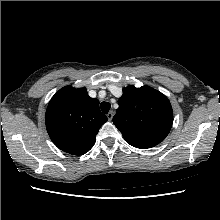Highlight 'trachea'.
I'll list each match as a JSON object with an SVG mask.
<instances>
[{
    "mask_svg": "<svg viewBox=\"0 0 220 220\" xmlns=\"http://www.w3.org/2000/svg\"><path fill=\"white\" fill-rule=\"evenodd\" d=\"M101 110L104 114H107L111 108V104L109 102H102L101 105Z\"/></svg>",
    "mask_w": 220,
    "mask_h": 220,
    "instance_id": "1",
    "label": "trachea"
}]
</instances>
